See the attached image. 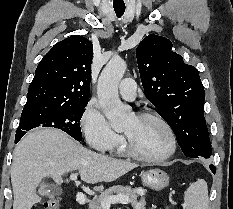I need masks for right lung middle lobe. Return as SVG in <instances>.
<instances>
[{
  "mask_svg": "<svg viewBox=\"0 0 233 209\" xmlns=\"http://www.w3.org/2000/svg\"><path fill=\"white\" fill-rule=\"evenodd\" d=\"M88 101L72 104L25 105L16 136H24L35 127H54L68 133L77 141L82 140L80 120Z\"/></svg>",
  "mask_w": 233,
  "mask_h": 209,
  "instance_id": "obj_1",
  "label": "right lung middle lobe"
}]
</instances>
